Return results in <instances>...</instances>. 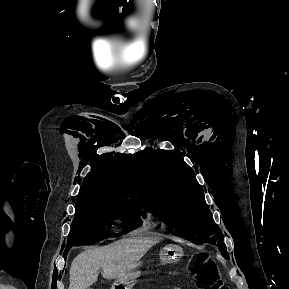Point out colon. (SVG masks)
<instances>
[{
    "mask_svg": "<svg viewBox=\"0 0 289 289\" xmlns=\"http://www.w3.org/2000/svg\"><path fill=\"white\" fill-rule=\"evenodd\" d=\"M190 277L198 289H226V286L216 276L214 269L204 259L190 268Z\"/></svg>",
    "mask_w": 289,
    "mask_h": 289,
    "instance_id": "5ec220e1",
    "label": "colon"
}]
</instances>
